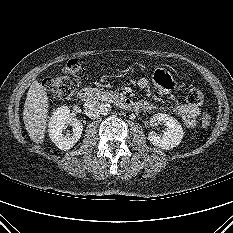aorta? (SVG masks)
Returning a JSON list of instances; mask_svg holds the SVG:
<instances>
[{"instance_id": "obj_1", "label": "aorta", "mask_w": 233, "mask_h": 233, "mask_svg": "<svg viewBox=\"0 0 233 233\" xmlns=\"http://www.w3.org/2000/svg\"><path fill=\"white\" fill-rule=\"evenodd\" d=\"M111 111V105L108 103L103 104L102 114L106 115Z\"/></svg>"}]
</instances>
